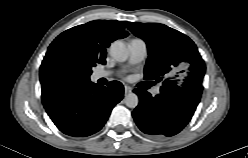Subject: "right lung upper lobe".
I'll use <instances>...</instances> for the list:
<instances>
[{
    "label": "right lung upper lobe",
    "instance_id": "1",
    "mask_svg": "<svg viewBox=\"0 0 248 158\" xmlns=\"http://www.w3.org/2000/svg\"><path fill=\"white\" fill-rule=\"evenodd\" d=\"M128 36L124 24L114 20H95L68 29L49 46L40 67L42 96L62 88L82 86L90 81L91 68L81 66L70 76L59 75L54 62L59 51L71 49L96 66L105 64L106 48L116 39Z\"/></svg>",
    "mask_w": 248,
    "mask_h": 158
}]
</instances>
